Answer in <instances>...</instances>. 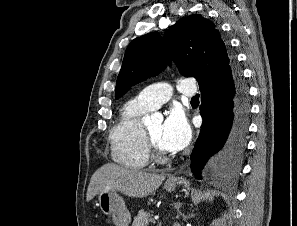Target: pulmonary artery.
Wrapping results in <instances>:
<instances>
[{
	"instance_id": "e3ab8cb5",
	"label": "pulmonary artery",
	"mask_w": 297,
	"mask_h": 226,
	"mask_svg": "<svg viewBox=\"0 0 297 226\" xmlns=\"http://www.w3.org/2000/svg\"><path fill=\"white\" fill-rule=\"evenodd\" d=\"M178 90L184 97L192 98L196 93L195 80L193 78L184 79ZM172 96V87L167 83H157L144 88L137 96L144 105L153 110L166 103Z\"/></svg>"
}]
</instances>
